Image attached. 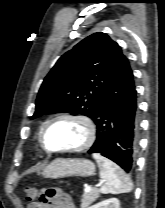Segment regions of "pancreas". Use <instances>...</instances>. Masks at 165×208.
Masks as SVG:
<instances>
[{
    "mask_svg": "<svg viewBox=\"0 0 165 208\" xmlns=\"http://www.w3.org/2000/svg\"><path fill=\"white\" fill-rule=\"evenodd\" d=\"M99 197V191L97 189H91L88 193H84L81 198V208H89Z\"/></svg>",
    "mask_w": 165,
    "mask_h": 208,
    "instance_id": "cf45deb5",
    "label": "pancreas"
}]
</instances>
